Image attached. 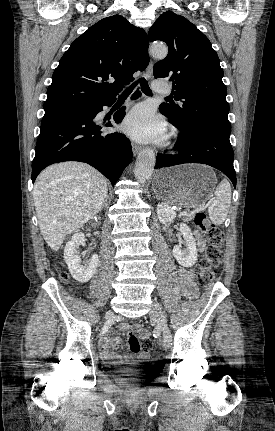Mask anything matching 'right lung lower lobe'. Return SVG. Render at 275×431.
<instances>
[{
  "mask_svg": "<svg viewBox=\"0 0 275 431\" xmlns=\"http://www.w3.org/2000/svg\"><path fill=\"white\" fill-rule=\"evenodd\" d=\"M141 93L136 91L134 99ZM115 98L99 103L73 108L45 111L32 162V182L47 166L63 161H80L95 167L114 186L123 169L131 162L132 147L128 138L120 133H106L110 121L96 120V115L105 105L110 106ZM125 116V107L113 116L120 123Z\"/></svg>",
  "mask_w": 275,
  "mask_h": 431,
  "instance_id": "right-lung-lower-lobe-1",
  "label": "right lung lower lobe"
}]
</instances>
